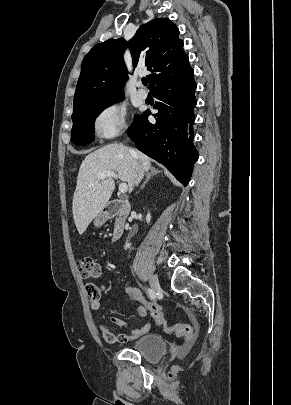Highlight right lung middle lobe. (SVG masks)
Segmentation results:
<instances>
[{
  "label": "right lung middle lobe",
  "instance_id": "1",
  "mask_svg": "<svg viewBox=\"0 0 291 405\" xmlns=\"http://www.w3.org/2000/svg\"><path fill=\"white\" fill-rule=\"evenodd\" d=\"M119 97L110 102L101 103L86 107L72 114L73 127L71 130V142L76 145H86L94 140V122L95 118L110 105L120 101ZM139 116H136L129 130L134 126Z\"/></svg>",
  "mask_w": 291,
  "mask_h": 405
}]
</instances>
